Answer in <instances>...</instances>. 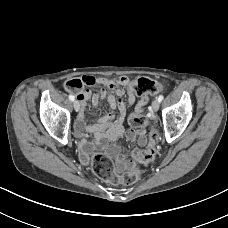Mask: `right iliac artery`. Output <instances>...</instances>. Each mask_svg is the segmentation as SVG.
<instances>
[{"label": "right iliac artery", "instance_id": "1", "mask_svg": "<svg viewBox=\"0 0 228 228\" xmlns=\"http://www.w3.org/2000/svg\"><path fill=\"white\" fill-rule=\"evenodd\" d=\"M69 99L71 100V101H74V96L73 95H69Z\"/></svg>", "mask_w": 228, "mask_h": 228}]
</instances>
